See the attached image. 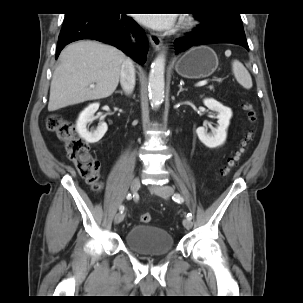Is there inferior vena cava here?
<instances>
[{
	"label": "inferior vena cava",
	"instance_id": "602c4592",
	"mask_svg": "<svg viewBox=\"0 0 303 303\" xmlns=\"http://www.w3.org/2000/svg\"><path fill=\"white\" fill-rule=\"evenodd\" d=\"M120 83L126 93H131L135 86V69L131 59L126 58L120 72Z\"/></svg>",
	"mask_w": 303,
	"mask_h": 303
}]
</instances>
